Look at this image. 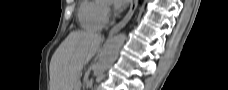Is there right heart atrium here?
Returning a JSON list of instances; mask_svg holds the SVG:
<instances>
[{"label":"right heart atrium","instance_id":"right-heart-atrium-1","mask_svg":"<svg viewBox=\"0 0 228 90\" xmlns=\"http://www.w3.org/2000/svg\"><path fill=\"white\" fill-rule=\"evenodd\" d=\"M110 13L111 11L108 2L100 1L99 17L104 24L108 22Z\"/></svg>","mask_w":228,"mask_h":90}]
</instances>
